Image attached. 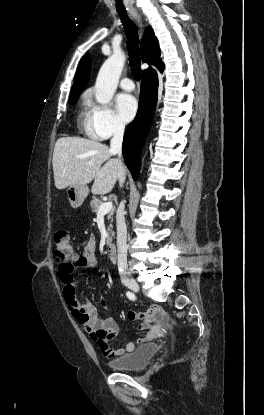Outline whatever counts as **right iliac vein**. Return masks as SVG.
I'll list each match as a JSON object with an SVG mask.
<instances>
[{
	"instance_id": "right-iliac-vein-1",
	"label": "right iliac vein",
	"mask_w": 264,
	"mask_h": 415,
	"mask_svg": "<svg viewBox=\"0 0 264 415\" xmlns=\"http://www.w3.org/2000/svg\"><path fill=\"white\" fill-rule=\"evenodd\" d=\"M125 285L134 292H139L140 290L138 283L133 279L126 280Z\"/></svg>"
}]
</instances>
